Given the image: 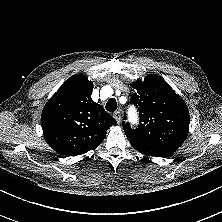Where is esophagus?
<instances>
[{
	"label": "esophagus",
	"mask_w": 222,
	"mask_h": 222,
	"mask_svg": "<svg viewBox=\"0 0 222 222\" xmlns=\"http://www.w3.org/2000/svg\"><path fill=\"white\" fill-rule=\"evenodd\" d=\"M113 117L116 119L117 123H120L121 121V113L120 111H116L113 113Z\"/></svg>",
	"instance_id": "1"
}]
</instances>
